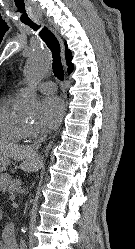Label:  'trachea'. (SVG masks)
<instances>
[{
  "label": "trachea",
  "instance_id": "1",
  "mask_svg": "<svg viewBox=\"0 0 135 249\" xmlns=\"http://www.w3.org/2000/svg\"><path fill=\"white\" fill-rule=\"evenodd\" d=\"M25 24L29 25L35 31L39 29V26L32 22H26ZM39 36L42 38V40L46 43V45L52 52V57H53L52 69H53L54 75L60 81H62L64 79V70H63V66L61 63L59 41L57 40L55 35L46 27H44L39 32Z\"/></svg>",
  "mask_w": 135,
  "mask_h": 249
}]
</instances>
